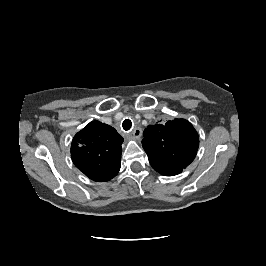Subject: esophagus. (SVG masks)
Instances as JSON below:
<instances>
[{"instance_id":"esophagus-1","label":"esophagus","mask_w":266,"mask_h":266,"mask_svg":"<svg viewBox=\"0 0 266 266\" xmlns=\"http://www.w3.org/2000/svg\"><path fill=\"white\" fill-rule=\"evenodd\" d=\"M141 135H142V130L140 128H135L133 131H132V136L133 138L135 139H140L141 138Z\"/></svg>"}]
</instances>
